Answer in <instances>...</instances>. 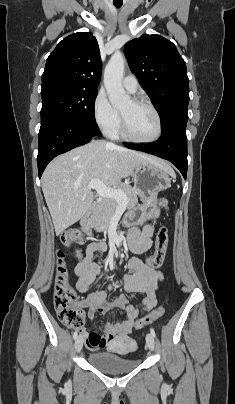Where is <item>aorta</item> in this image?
Wrapping results in <instances>:
<instances>
[{"label":"aorta","mask_w":235,"mask_h":404,"mask_svg":"<svg viewBox=\"0 0 235 404\" xmlns=\"http://www.w3.org/2000/svg\"><path fill=\"white\" fill-rule=\"evenodd\" d=\"M125 61L121 54L111 56L104 72V85L109 95L110 103L115 108H122L130 103V96L122 86Z\"/></svg>","instance_id":"762f6f07"}]
</instances>
